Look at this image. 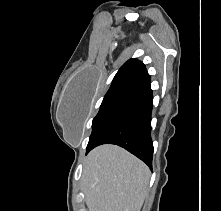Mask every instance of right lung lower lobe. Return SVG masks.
<instances>
[{
	"label": "right lung lower lobe",
	"instance_id": "obj_1",
	"mask_svg": "<svg viewBox=\"0 0 221 211\" xmlns=\"http://www.w3.org/2000/svg\"><path fill=\"white\" fill-rule=\"evenodd\" d=\"M153 96L150 86L138 91L118 115L87 146L88 153L101 144H115L128 150L152 168L151 111Z\"/></svg>",
	"mask_w": 221,
	"mask_h": 211
}]
</instances>
